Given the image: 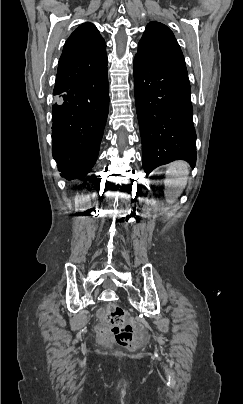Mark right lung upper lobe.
Segmentation results:
<instances>
[{
	"label": "right lung upper lobe",
	"mask_w": 243,
	"mask_h": 404,
	"mask_svg": "<svg viewBox=\"0 0 243 404\" xmlns=\"http://www.w3.org/2000/svg\"><path fill=\"white\" fill-rule=\"evenodd\" d=\"M106 43L92 23L80 25L67 39L53 92L86 80L107 67Z\"/></svg>",
	"instance_id": "obj_1"
}]
</instances>
